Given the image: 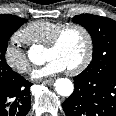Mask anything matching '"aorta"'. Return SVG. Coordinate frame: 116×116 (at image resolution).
<instances>
[{
  "label": "aorta",
  "instance_id": "762f6f07",
  "mask_svg": "<svg viewBox=\"0 0 116 116\" xmlns=\"http://www.w3.org/2000/svg\"><path fill=\"white\" fill-rule=\"evenodd\" d=\"M37 57H39V55L32 48L29 51V59L32 62H36ZM54 87H55V91L59 95L65 96V97L70 96L72 94V92H73V89H74L73 83L71 82V80H69L67 78H59V79H57L55 84H54Z\"/></svg>",
  "mask_w": 116,
  "mask_h": 116
}]
</instances>
